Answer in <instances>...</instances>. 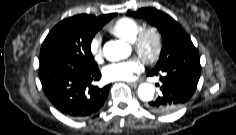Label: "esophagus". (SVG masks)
<instances>
[{"instance_id":"obj_1","label":"esophagus","mask_w":236,"mask_h":135,"mask_svg":"<svg viewBox=\"0 0 236 135\" xmlns=\"http://www.w3.org/2000/svg\"><path fill=\"white\" fill-rule=\"evenodd\" d=\"M140 83H141L140 81H133V82H129V85L133 87H137Z\"/></svg>"}]
</instances>
